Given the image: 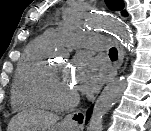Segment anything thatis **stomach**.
<instances>
[{
	"label": "stomach",
	"instance_id": "1",
	"mask_svg": "<svg viewBox=\"0 0 151 131\" xmlns=\"http://www.w3.org/2000/svg\"><path fill=\"white\" fill-rule=\"evenodd\" d=\"M47 131H76V127L72 124L67 123V122H62L60 124L52 126Z\"/></svg>",
	"mask_w": 151,
	"mask_h": 131
}]
</instances>
